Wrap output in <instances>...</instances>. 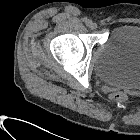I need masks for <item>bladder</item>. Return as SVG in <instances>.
<instances>
[{
    "label": "bladder",
    "instance_id": "bladder-1",
    "mask_svg": "<svg viewBox=\"0 0 140 140\" xmlns=\"http://www.w3.org/2000/svg\"><path fill=\"white\" fill-rule=\"evenodd\" d=\"M94 72L109 85L140 89V24L112 29L94 60Z\"/></svg>",
    "mask_w": 140,
    "mask_h": 140
}]
</instances>
